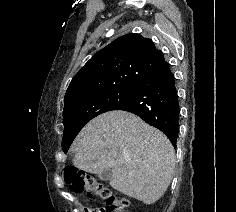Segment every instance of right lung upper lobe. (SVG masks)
<instances>
[{"label":"right lung upper lobe","instance_id":"cb5924a9","mask_svg":"<svg viewBox=\"0 0 236 212\" xmlns=\"http://www.w3.org/2000/svg\"><path fill=\"white\" fill-rule=\"evenodd\" d=\"M164 59L154 43L139 34L123 35L98 51L73 77L64 105L93 94L135 87Z\"/></svg>","mask_w":236,"mask_h":212}]
</instances>
